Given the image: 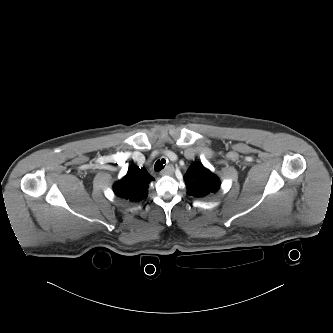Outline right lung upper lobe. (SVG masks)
Here are the masks:
<instances>
[{
	"mask_svg": "<svg viewBox=\"0 0 333 333\" xmlns=\"http://www.w3.org/2000/svg\"><path fill=\"white\" fill-rule=\"evenodd\" d=\"M154 178L143 168L134 166L127 174L113 185L116 196L130 202H139L147 197L148 184Z\"/></svg>",
	"mask_w": 333,
	"mask_h": 333,
	"instance_id": "1",
	"label": "right lung upper lobe"
}]
</instances>
